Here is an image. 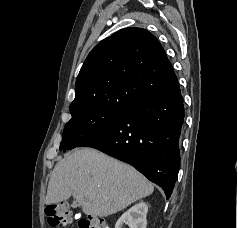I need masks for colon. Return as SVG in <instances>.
<instances>
[{
	"mask_svg": "<svg viewBox=\"0 0 238 228\" xmlns=\"http://www.w3.org/2000/svg\"><path fill=\"white\" fill-rule=\"evenodd\" d=\"M45 213L52 228L70 226L74 219L77 220L79 228H110L108 223L102 218L74 216L70 205L64 202L48 205Z\"/></svg>",
	"mask_w": 238,
	"mask_h": 228,
	"instance_id": "colon-1",
	"label": "colon"
}]
</instances>
